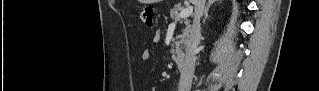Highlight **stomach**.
Returning <instances> with one entry per match:
<instances>
[{"instance_id":"0dacf381","label":"stomach","mask_w":319,"mask_h":91,"mask_svg":"<svg viewBox=\"0 0 319 91\" xmlns=\"http://www.w3.org/2000/svg\"><path fill=\"white\" fill-rule=\"evenodd\" d=\"M146 3L156 2V0H144Z\"/></svg>"}]
</instances>
